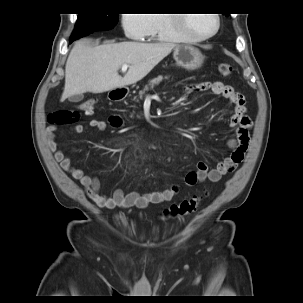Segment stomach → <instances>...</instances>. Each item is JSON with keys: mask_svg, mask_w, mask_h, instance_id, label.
<instances>
[{"mask_svg": "<svg viewBox=\"0 0 303 303\" xmlns=\"http://www.w3.org/2000/svg\"><path fill=\"white\" fill-rule=\"evenodd\" d=\"M173 57L177 65L188 70L200 68L205 58L197 48L189 45L176 46Z\"/></svg>", "mask_w": 303, "mask_h": 303, "instance_id": "0dacf381", "label": "stomach"}]
</instances>
